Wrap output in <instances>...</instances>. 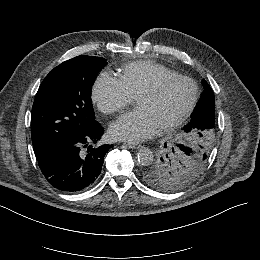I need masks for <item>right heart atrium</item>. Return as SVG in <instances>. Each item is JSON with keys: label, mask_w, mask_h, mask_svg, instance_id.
<instances>
[{"label": "right heart atrium", "mask_w": 260, "mask_h": 260, "mask_svg": "<svg viewBox=\"0 0 260 260\" xmlns=\"http://www.w3.org/2000/svg\"><path fill=\"white\" fill-rule=\"evenodd\" d=\"M92 99L103 114L112 115L127 106L131 96L120 79L109 72H102L94 82Z\"/></svg>", "instance_id": "1"}]
</instances>
